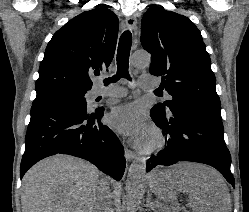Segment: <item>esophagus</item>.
<instances>
[{"instance_id":"esophagus-1","label":"esophagus","mask_w":249,"mask_h":212,"mask_svg":"<svg viewBox=\"0 0 249 212\" xmlns=\"http://www.w3.org/2000/svg\"><path fill=\"white\" fill-rule=\"evenodd\" d=\"M126 26L129 30L134 31L137 25V19L134 16H129L125 20ZM135 153L129 148L125 147V157L128 162H131L135 158Z\"/></svg>"}]
</instances>
